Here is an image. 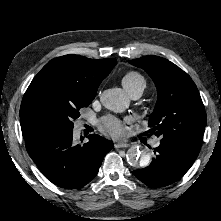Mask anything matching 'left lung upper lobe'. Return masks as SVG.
I'll return each mask as SVG.
<instances>
[{
    "label": "left lung upper lobe",
    "instance_id": "1",
    "mask_svg": "<svg viewBox=\"0 0 221 221\" xmlns=\"http://www.w3.org/2000/svg\"><path fill=\"white\" fill-rule=\"evenodd\" d=\"M153 79L158 100L149 119V132L170 145L197 157L206 126L205 108L190 76L172 62L158 56L129 61Z\"/></svg>",
    "mask_w": 221,
    "mask_h": 221
}]
</instances>
